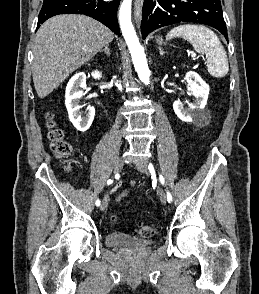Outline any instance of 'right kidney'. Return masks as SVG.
Instances as JSON below:
<instances>
[{
    "mask_svg": "<svg viewBox=\"0 0 259 294\" xmlns=\"http://www.w3.org/2000/svg\"><path fill=\"white\" fill-rule=\"evenodd\" d=\"M91 75L94 79H100L102 77V74L99 71H94L91 73ZM85 87V73H76L69 80L65 94V105L68 111L69 119L74 127L81 132H85L89 129L95 116V108L92 106H88L87 114L84 117L81 116V106L79 105V99L83 96V91L80 88Z\"/></svg>",
    "mask_w": 259,
    "mask_h": 294,
    "instance_id": "ca27d5eb",
    "label": "right kidney"
}]
</instances>
